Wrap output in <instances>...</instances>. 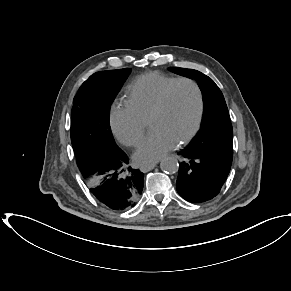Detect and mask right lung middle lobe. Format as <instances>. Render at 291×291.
Segmentation results:
<instances>
[{"label":"right lung middle lobe","instance_id":"right-lung-middle-lobe-1","mask_svg":"<svg viewBox=\"0 0 291 291\" xmlns=\"http://www.w3.org/2000/svg\"><path fill=\"white\" fill-rule=\"evenodd\" d=\"M129 73L128 68L97 72L74 97L70 133L79 169L122 153L111 132L109 113Z\"/></svg>","mask_w":291,"mask_h":291}]
</instances>
